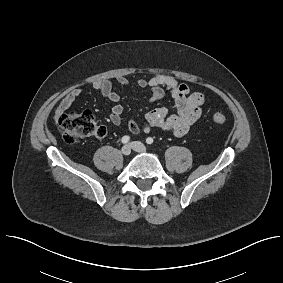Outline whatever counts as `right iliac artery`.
<instances>
[{
	"label": "right iliac artery",
	"instance_id": "1",
	"mask_svg": "<svg viewBox=\"0 0 283 283\" xmlns=\"http://www.w3.org/2000/svg\"><path fill=\"white\" fill-rule=\"evenodd\" d=\"M129 140H130V137L129 136H124V137H122V143L123 144H126V143H128L129 142Z\"/></svg>",
	"mask_w": 283,
	"mask_h": 283
}]
</instances>
